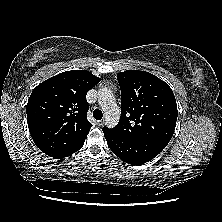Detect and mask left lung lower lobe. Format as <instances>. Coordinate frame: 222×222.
<instances>
[{"label":"left lung lower lobe","instance_id":"1","mask_svg":"<svg viewBox=\"0 0 222 222\" xmlns=\"http://www.w3.org/2000/svg\"><path fill=\"white\" fill-rule=\"evenodd\" d=\"M109 148L121 160L132 165L144 164L155 158L167 144L153 140H129L103 128Z\"/></svg>","mask_w":222,"mask_h":222}]
</instances>
